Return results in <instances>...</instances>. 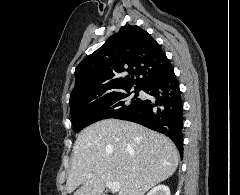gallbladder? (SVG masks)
Instances as JSON below:
<instances>
[{"mask_svg": "<svg viewBox=\"0 0 240 195\" xmlns=\"http://www.w3.org/2000/svg\"><path fill=\"white\" fill-rule=\"evenodd\" d=\"M103 195H113V193H112V192H109L108 190H105L104 193H103Z\"/></svg>", "mask_w": 240, "mask_h": 195, "instance_id": "obj_1", "label": "gallbladder"}]
</instances>
